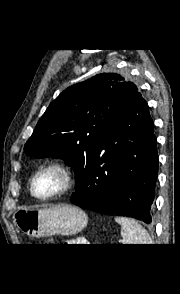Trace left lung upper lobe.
<instances>
[{
	"mask_svg": "<svg viewBox=\"0 0 180 294\" xmlns=\"http://www.w3.org/2000/svg\"><path fill=\"white\" fill-rule=\"evenodd\" d=\"M138 93L134 83L117 73L98 74L67 88L38 121L26 154L63 158L74 169L78 191L97 148Z\"/></svg>",
	"mask_w": 180,
	"mask_h": 294,
	"instance_id": "left-lung-upper-lobe-1",
	"label": "left lung upper lobe"
}]
</instances>
